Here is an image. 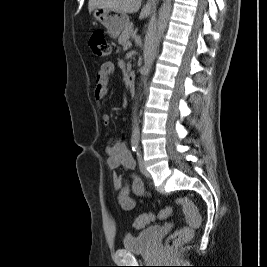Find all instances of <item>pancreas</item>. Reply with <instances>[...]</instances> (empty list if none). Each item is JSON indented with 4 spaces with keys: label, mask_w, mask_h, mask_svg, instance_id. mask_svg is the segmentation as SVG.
<instances>
[{
    "label": "pancreas",
    "mask_w": 267,
    "mask_h": 267,
    "mask_svg": "<svg viewBox=\"0 0 267 267\" xmlns=\"http://www.w3.org/2000/svg\"><path fill=\"white\" fill-rule=\"evenodd\" d=\"M133 33H134L133 23H129L128 25L125 26L118 39L119 44L125 45Z\"/></svg>",
    "instance_id": "cf45deb5"
}]
</instances>
